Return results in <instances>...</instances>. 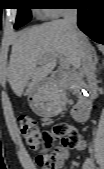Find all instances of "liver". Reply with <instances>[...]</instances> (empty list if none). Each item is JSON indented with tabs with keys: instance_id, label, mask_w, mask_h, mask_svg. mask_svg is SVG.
Wrapping results in <instances>:
<instances>
[{
	"instance_id": "6515ba94",
	"label": "liver",
	"mask_w": 104,
	"mask_h": 169,
	"mask_svg": "<svg viewBox=\"0 0 104 169\" xmlns=\"http://www.w3.org/2000/svg\"><path fill=\"white\" fill-rule=\"evenodd\" d=\"M80 34L88 42L87 37ZM55 55H62L76 69L81 66L79 41L62 19L20 33L13 42L7 70L13 92L18 97L22 96L25 89L24 94H31L53 72L57 62Z\"/></svg>"
}]
</instances>
